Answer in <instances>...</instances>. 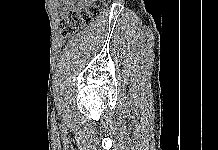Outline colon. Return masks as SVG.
<instances>
[{"label": "colon", "mask_w": 218, "mask_h": 150, "mask_svg": "<svg viewBox=\"0 0 218 150\" xmlns=\"http://www.w3.org/2000/svg\"><path fill=\"white\" fill-rule=\"evenodd\" d=\"M109 0H93L86 7L70 10L60 21V36L63 40L69 38L83 26L92 23L104 13L108 7Z\"/></svg>", "instance_id": "5ec220e1"}]
</instances>
